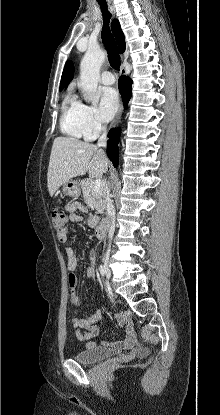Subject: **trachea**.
I'll return each mask as SVG.
<instances>
[{
	"mask_svg": "<svg viewBox=\"0 0 220 415\" xmlns=\"http://www.w3.org/2000/svg\"><path fill=\"white\" fill-rule=\"evenodd\" d=\"M100 8L102 11V15H103V20H104V24L102 27V40L104 43V46L107 50L108 53V59H109V63L111 65V67L115 70V71H119L120 69V56H119V52H118V47L116 44V41L110 31L109 28V22H110V18H111V14L107 9V5L106 4H100Z\"/></svg>",
	"mask_w": 220,
	"mask_h": 415,
	"instance_id": "1",
	"label": "trachea"
}]
</instances>
